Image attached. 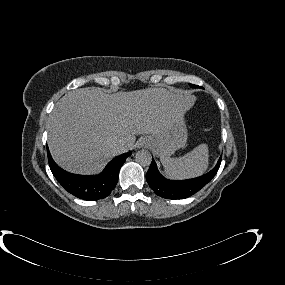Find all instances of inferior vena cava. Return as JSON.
Wrapping results in <instances>:
<instances>
[{
	"instance_id": "inferior-vena-cava-1",
	"label": "inferior vena cava",
	"mask_w": 285,
	"mask_h": 285,
	"mask_svg": "<svg viewBox=\"0 0 285 285\" xmlns=\"http://www.w3.org/2000/svg\"><path fill=\"white\" fill-rule=\"evenodd\" d=\"M124 146V142H119L116 147L117 149H121Z\"/></svg>"
}]
</instances>
